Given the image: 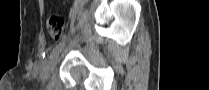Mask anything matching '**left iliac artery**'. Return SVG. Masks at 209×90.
Wrapping results in <instances>:
<instances>
[{"instance_id": "44dca946", "label": "left iliac artery", "mask_w": 209, "mask_h": 90, "mask_svg": "<svg viewBox=\"0 0 209 90\" xmlns=\"http://www.w3.org/2000/svg\"><path fill=\"white\" fill-rule=\"evenodd\" d=\"M64 45H65L64 41L55 45V47L53 48V50L50 53L49 58L53 59L61 51V49L63 48Z\"/></svg>"}]
</instances>
